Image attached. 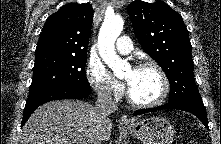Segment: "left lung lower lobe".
I'll return each instance as SVG.
<instances>
[{
    "mask_svg": "<svg viewBox=\"0 0 221 144\" xmlns=\"http://www.w3.org/2000/svg\"><path fill=\"white\" fill-rule=\"evenodd\" d=\"M162 109H178V110L190 112L194 114L195 116H197L205 125V127L208 128V120H207L206 109L204 107V104H196V103L187 102V101L168 102L159 107L137 110L136 112H134L133 116L148 113V112H153L157 110H162Z\"/></svg>",
    "mask_w": 221,
    "mask_h": 144,
    "instance_id": "0a47b994",
    "label": "left lung lower lobe"
}]
</instances>
